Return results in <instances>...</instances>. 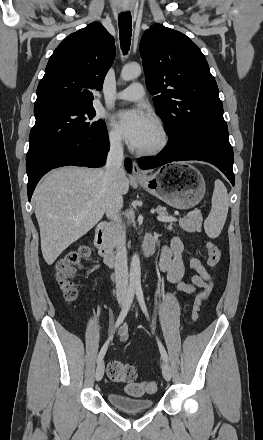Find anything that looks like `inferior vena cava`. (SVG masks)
<instances>
[{
	"label": "inferior vena cava",
	"mask_w": 263,
	"mask_h": 440,
	"mask_svg": "<svg viewBox=\"0 0 263 440\" xmlns=\"http://www.w3.org/2000/svg\"><path fill=\"white\" fill-rule=\"evenodd\" d=\"M123 147L121 139L117 136L110 138V150L107 155L104 175L106 181V216L114 221L115 256V284L116 295L119 301L128 294V263L125 232L119 225V211L123 206L122 193L119 188V179L123 175Z\"/></svg>",
	"instance_id": "inferior-vena-cava-1"
}]
</instances>
